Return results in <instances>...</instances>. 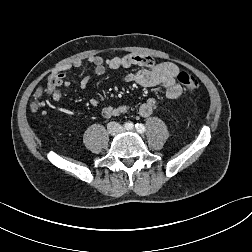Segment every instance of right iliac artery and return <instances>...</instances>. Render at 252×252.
Returning <instances> with one entry per match:
<instances>
[{"instance_id":"82829eb1","label":"right iliac artery","mask_w":252,"mask_h":252,"mask_svg":"<svg viewBox=\"0 0 252 252\" xmlns=\"http://www.w3.org/2000/svg\"><path fill=\"white\" fill-rule=\"evenodd\" d=\"M124 127L129 130V129H132L134 125L131 122H128V123H125Z\"/></svg>"}]
</instances>
